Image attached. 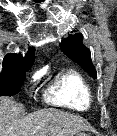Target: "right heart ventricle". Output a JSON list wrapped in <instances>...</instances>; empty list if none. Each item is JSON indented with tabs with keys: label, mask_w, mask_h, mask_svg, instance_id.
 I'll return each mask as SVG.
<instances>
[{
	"label": "right heart ventricle",
	"mask_w": 117,
	"mask_h": 136,
	"mask_svg": "<svg viewBox=\"0 0 117 136\" xmlns=\"http://www.w3.org/2000/svg\"><path fill=\"white\" fill-rule=\"evenodd\" d=\"M45 100L54 106L83 112L92 106L93 95L86 79L77 71L67 69L51 81L45 93Z\"/></svg>",
	"instance_id": "obj_1"
}]
</instances>
